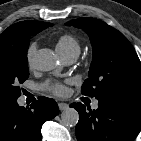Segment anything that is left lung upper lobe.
I'll return each instance as SVG.
<instances>
[{
	"mask_svg": "<svg viewBox=\"0 0 141 141\" xmlns=\"http://www.w3.org/2000/svg\"><path fill=\"white\" fill-rule=\"evenodd\" d=\"M90 37L93 60L82 94L96 99L117 98L141 103V62L128 39L118 30L95 18L66 23Z\"/></svg>",
	"mask_w": 141,
	"mask_h": 141,
	"instance_id": "1",
	"label": "left lung upper lobe"
}]
</instances>
